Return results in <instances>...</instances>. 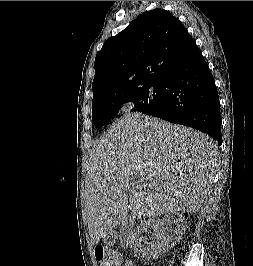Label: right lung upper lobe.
<instances>
[{"instance_id":"1","label":"right lung upper lobe","mask_w":253,"mask_h":266,"mask_svg":"<svg viewBox=\"0 0 253 266\" xmlns=\"http://www.w3.org/2000/svg\"><path fill=\"white\" fill-rule=\"evenodd\" d=\"M198 52L179 19L163 9L146 11L97 53L92 104L163 80Z\"/></svg>"}]
</instances>
